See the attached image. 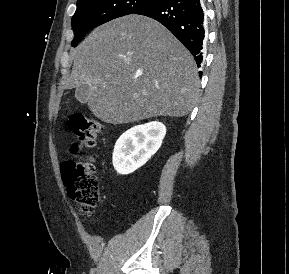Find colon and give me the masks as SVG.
<instances>
[{
    "label": "colon",
    "mask_w": 289,
    "mask_h": 274,
    "mask_svg": "<svg viewBox=\"0 0 289 274\" xmlns=\"http://www.w3.org/2000/svg\"><path fill=\"white\" fill-rule=\"evenodd\" d=\"M70 129L78 139V143L72 147V152L77 153L83 147L95 146L103 124L98 119L78 114L71 118ZM61 172L70 198L79 205L83 213H91L100 199L93 159L66 161L62 164Z\"/></svg>",
    "instance_id": "colon-1"
}]
</instances>
